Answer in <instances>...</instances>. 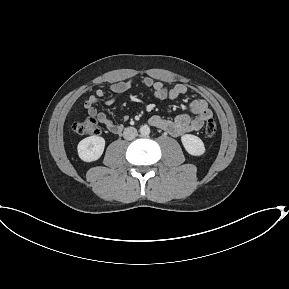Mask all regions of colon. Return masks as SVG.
<instances>
[{
    "label": "colon",
    "instance_id": "colon-1",
    "mask_svg": "<svg viewBox=\"0 0 289 289\" xmlns=\"http://www.w3.org/2000/svg\"><path fill=\"white\" fill-rule=\"evenodd\" d=\"M73 131L83 136H93L100 133L97 121L94 118H86L83 121L75 122L72 126ZM217 132V124L213 119L207 120L204 127V135L212 138Z\"/></svg>",
    "mask_w": 289,
    "mask_h": 289
}]
</instances>
